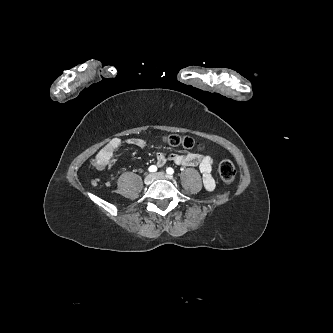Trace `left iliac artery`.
<instances>
[{
	"label": "left iliac artery",
	"mask_w": 333,
	"mask_h": 333,
	"mask_svg": "<svg viewBox=\"0 0 333 333\" xmlns=\"http://www.w3.org/2000/svg\"><path fill=\"white\" fill-rule=\"evenodd\" d=\"M166 172H167V174L172 175V174L174 173V169L171 168V167H168V168L166 169Z\"/></svg>",
	"instance_id": "obj_1"
}]
</instances>
